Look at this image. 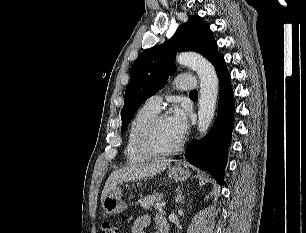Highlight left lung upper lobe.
I'll return each mask as SVG.
<instances>
[{"label":"left lung upper lobe","mask_w":306,"mask_h":233,"mask_svg":"<svg viewBox=\"0 0 306 233\" xmlns=\"http://www.w3.org/2000/svg\"><path fill=\"white\" fill-rule=\"evenodd\" d=\"M182 51L199 52L211 63L220 55L210 25L198 15L189 16L188 21L178 27L171 39L142 52L131 66L130 82L121 110V133L126 130L137 108L156 94L169 75L176 71L173 60L176 53Z\"/></svg>","instance_id":"5c2ea615"}]
</instances>
